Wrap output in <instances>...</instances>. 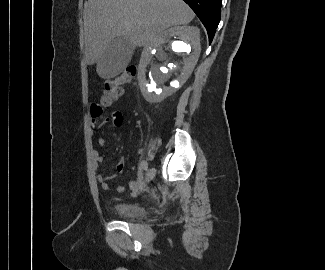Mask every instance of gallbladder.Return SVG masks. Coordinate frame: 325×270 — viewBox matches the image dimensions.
Wrapping results in <instances>:
<instances>
[{
  "mask_svg": "<svg viewBox=\"0 0 325 270\" xmlns=\"http://www.w3.org/2000/svg\"><path fill=\"white\" fill-rule=\"evenodd\" d=\"M134 47L128 37H116L107 46L98 63V70L105 78L120 74L130 62Z\"/></svg>",
  "mask_w": 325,
  "mask_h": 270,
  "instance_id": "obj_1",
  "label": "gallbladder"
}]
</instances>
